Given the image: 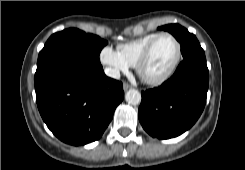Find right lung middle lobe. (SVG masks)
I'll return each mask as SVG.
<instances>
[{"label":"right lung middle lobe","instance_id":"right-lung-middle-lobe-1","mask_svg":"<svg viewBox=\"0 0 245 170\" xmlns=\"http://www.w3.org/2000/svg\"><path fill=\"white\" fill-rule=\"evenodd\" d=\"M106 44L99 36L75 28L53 34L39 53L35 80L68 62L100 64L99 54Z\"/></svg>","mask_w":245,"mask_h":170}]
</instances>
